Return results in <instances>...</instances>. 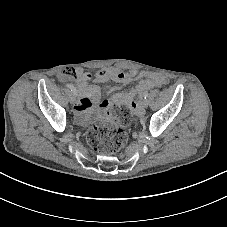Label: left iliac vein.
<instances>
[{"label":"left iliac vein","instance_id":"obj_1","mask_svg":"<svg viewBox=\"0 0 227 227\" xmlns=\"http://www.w3.org/2000/svg\"><path fill=\"white\" fill-rule=\"evenodd\" d=\"M148 104H149L148 100L144 99L143 102H142V107L147 108Z\"/></svg>","mask_w":227,"mask_h":227}]
</instances>
